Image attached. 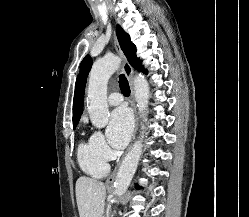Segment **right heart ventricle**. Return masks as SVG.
<instances>
[{
  "label": "right heart ventricle",
  "mask_w": 249,
  "mask_h": 217,
  "mask_svg": "<svg viewBox=\"0 0 249 217\" xmlns=\"http://www.w3.org/2000/svg\"><path fill=\"white\" fill-rule=\"evenodd\" d=\"M77 159L81 169L94 178H102L108 172L107 161L98 155L90 140L79 144Z\"/></svg>",
  "instance_id": "1"
}]
</instances>
